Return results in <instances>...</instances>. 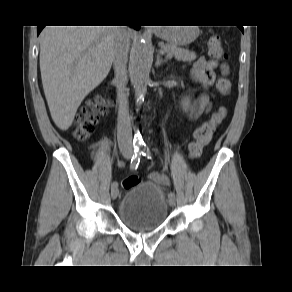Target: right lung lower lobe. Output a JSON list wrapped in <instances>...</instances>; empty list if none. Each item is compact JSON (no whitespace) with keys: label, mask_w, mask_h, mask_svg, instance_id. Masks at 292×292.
<instances>
[{"label":"right lung lower lobe","mask_w":292,"mask_h":292,"mask_svg":"<svg viewBox=\"0 0 292 292\" xmlns=\"http://www.w3.org/2000/svg\"><path fill=\"white\" fill-rule=\"evenodd\" d=\"M132 27H134L135 29H139L140 26L139 25H133ZM44 28V26H38L37 28V34L39 35V33L41 32V30Z\"/></svg>","instance_id":"1"}]
</instances>
